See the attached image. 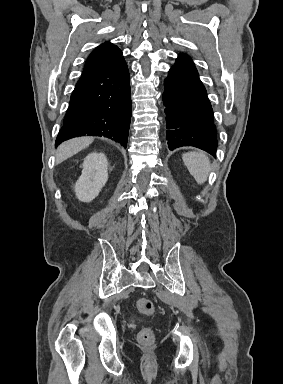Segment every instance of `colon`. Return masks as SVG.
<instances>
[{"label": "colon", "mask_w": 283, "mask_h": 384, "mask_svg": "<svg viewBox=\"0 0 283 384\" xmlns=\"http://www.w3.org/2000/svg\"><path fill=\"white\" fill-rule=\"evenodd\" d=\"M137 309L145 315H153L155 312L154 304L151 300L141 297L136 302ZM138 340L142 344H150L154 340V334L151 328H143L138 334Z\"/></svg>", "instance_id": "colon-1"}]
</instances>
